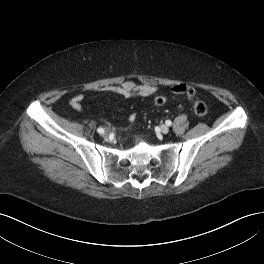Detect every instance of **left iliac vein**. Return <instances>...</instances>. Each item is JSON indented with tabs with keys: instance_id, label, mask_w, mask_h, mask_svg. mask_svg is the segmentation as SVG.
<instances>
[{
	"instance_id": "left-iliac-vein-1",
	"label": "left iliac vein",
	"mask_w": 264,
	"mask_h": 264,
	"mask_svg": "<svg viewBox=\"0 0 264 264\" xmlns=\"http://www.w3.org/2000/svg\"><path fill=\"white\" fill-rule=\"evenodd\" d=\"M160 130L163 134H167L169 132V127L167 125H161Z\"/></svg>"
}]
</instances>
